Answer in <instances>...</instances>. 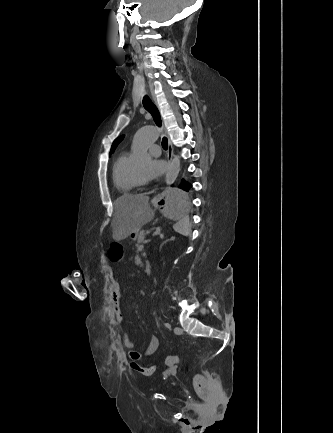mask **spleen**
Masks as SVG:
<instances>
[{
  "instance_id": "3e777b00",
  "label": "spleen",
  "mask_w": 333,
  "mask_h": 433,
  "mask_svg": "<svg viewBox=\"0 0 333 433\" xmlns=\"http://www.w3.org/2000/svg\"><path fill=\"white\" fill-rule=\"evenodd\" d=\"M175 224L173 225V229L175 232L183 235L189 236L191 234V223L189 220L188 212L187 215H184V220H174Z\"/></svg>"
}]
</instances>
